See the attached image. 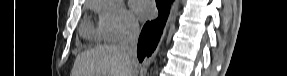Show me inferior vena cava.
<instances>
[{"mask_svg":"<svg viewBox=\"0 0 287 76\" xmlns=\"http://www.w3.org/2000/svg\"><path fill=\"white\" fill-rule=\"evenodd\" d=\"M139 34V24L134 20L129 21L118 45L119 51L128 59L132 65L133 76H137V43Z\"/></svg>","mask_w":287,"mask_h":76,"instance_id":"602c4592","label":"inferior vena cava"}]
</instances>
